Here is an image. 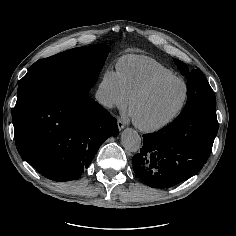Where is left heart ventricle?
<instances>
[{
  "instance_id": "b2bd125f",
  "label": "left heart ventricle",
  "mask_w": 236,
  "mask_h": 236,
  "mask_svg": "<svg viewBox=\"0 0 236 236\" xmlns=\"http://www.w3.org/2000/svg\"><path fill=\"white\" fill-rule=\"evenodd\" d=\"M183 94L184 85L180 81L162 83L135 102L132 114L143 124L158 123L175 112Z\"/></svg>"
}]
</instances>
